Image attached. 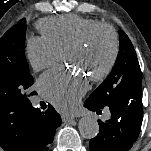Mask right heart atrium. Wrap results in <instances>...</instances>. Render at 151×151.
I'll list each match as a JSON object with an SVG mask.
<instances>
[{"label":"right heart atrium","mask_w":151,"mask_h":151,"mask_svg":"<svg viewBox=\"0 0 151 151\" xmlns=\"http://www.w3.org/2000/svg\"><path fill=\"white\" fill-rule=\"evenodd\" d=\"M26 57L35 71L55 65L62 58V51L43 36H32L26 43Z\"/></svg>","instance_id":"d8ad5b80"}]
</instances>
